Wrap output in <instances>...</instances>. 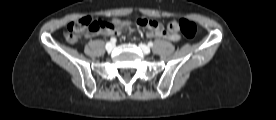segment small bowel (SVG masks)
<instances>
[{"instance_id":"obj_1","label":"small bowel","mask_w":276,"mask_h":120,"mask_svg":"<svg viewBox=\"0 0 276 120\" xmlns=\"http://www.w3.org/2000/svg\"><path fill=\"white\" fill-rule=\"evenodd\" d=\"M148 32L147 37L153 38H166L170 41H178L180 39L179 35L177 33H169L164 30L163 26L157 22L156 20H151V25L147 26ZM106 35H110L113 32H104Z\"/></svg>"}]
</instances>
